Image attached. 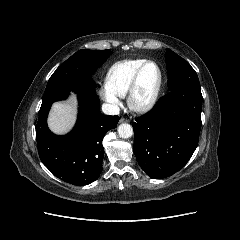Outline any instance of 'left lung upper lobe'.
<instances>
[{
    "mask_svg": "<svg viewBox=\"0 0 240 240\" xmlns=\"http://www.w3.org/2000/svg\"><path fill=\"white\" fill-rule=\"evenodd\" d=\"M165 60L167 63L169 91L186 86L200 87L195 70L186 60L170 49L166 50Z\"/></svg>",
    "mask_w": 240,
    "mask_h": 240,
    "instance_id": "obj_1",
    "label": "left lung upper lobe"
}]
</instances>
